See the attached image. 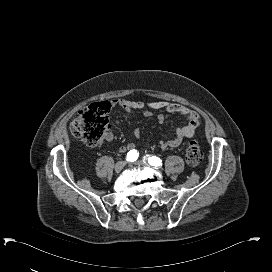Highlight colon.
<instances>
[{
  "label": "colon",
  "instance_id": "obj_1",
  "mask_svg": "<svg viewBox=\"0 0 272 272\" xmlns=\"http://www.w3.org/2000/svg\"><path fill=\"white\" fill-rule=\"evenodd\" d=\"M110 108L108 101H100L80 110L69 126L70 135L82 139L89 146L97 145L109 127ZM185 157L191 166L201 162L202 150L197 141L188 142Z\"/></svg>",
  "mask_w": 272,
  "mask_h": 272
}]
</instances>
